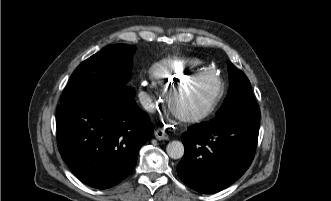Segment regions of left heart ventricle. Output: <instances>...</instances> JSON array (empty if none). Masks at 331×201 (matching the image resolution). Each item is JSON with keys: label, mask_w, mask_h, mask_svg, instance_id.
Returning <instances> with one entry per match:
<instances>
[{"label": "left heart ventricle", "mask_w": 331, "mask_h": 201, "mask_svg": "<svg viewBox=\"0 0 331 201\" xmlns=\"http://www.w3.org/2000/svg\"><path fill=\"white\" fill-rule=\"evenodd\" d=\"M216 88L217 83L210 76L194 81L187 86L177 88L172 95L174 106L180 112H193L212 97Z\"/></svg>", "instance_id": "obj_1"}]
</instances>
